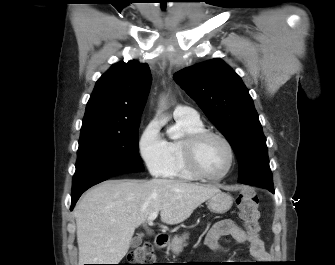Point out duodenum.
Masks as SVG:
<instances>
[{
  "instance_id": "obj_1",
  "label": "duodenum",
  "mask_w": 335,
  "mask_h": 265,
  "mask_svg": "<svg viewBox=\"0 0 335 265\" xmlns=\"http://www.w3.org/2000/svg\"><path fill=\"white\" fill-rule=\"evenodd\" d=\"M168 237L165 234H158L154 239V247L156 249H162L166 246Z\"/></svg>"
}]
</instances>
